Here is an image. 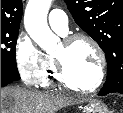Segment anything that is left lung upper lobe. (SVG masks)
Returning <instances> with one entry per match:
<instances>
[{"mask_svg":"<svg viewBox=\"0 0 123 113\" xmlns=\"http://www.w3.org/2000/svg\"><path fill=\"white\" fill-rule=\"evenodd\" d=\"M75 22L105 52V91L123 90V0H64Z\"/></svg>","mask_w":123,"mask_h":113,"instance_id":"1","label":"left lung upper lobe"}]
</instances>
